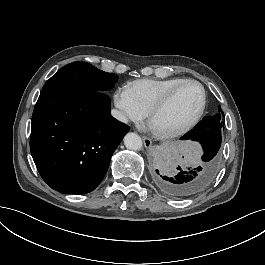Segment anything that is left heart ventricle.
<instances>
[{
    "label": "left heart ventricle",
    "instance_id": "obj_1",
    "mask_svg": "<svg viewBox=\"0 0 265 265\" xmlns=\"http://www.w3.org/2000/svg\"><path fill=\"white\" fill-rule=\"evenodd\" d=\"M202 91L195 83L182 86L171 103L159 112L153 126L158 131H170L188 122L199 109Z\"/></svg>",
    "mask_w": 265,
    "mask_h": 265
}]
</instances>
